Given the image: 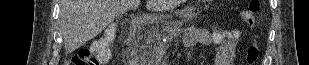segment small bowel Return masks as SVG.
I'll return each mask as SVG.
<instances>
[{"label": "small bowel", "mask_w": 309, "mask_h": 65, "mask_svg": "<svg viewBox=\"0 0 309 65\" xmlns=\"http://www.w3.org/2000/svg\"><path fill=\"white\" fill-rule=\"evenodd\" d=\"M198 44L215 47L214 65H233L236 57V38L226 31H209L189 27L184 34V45L191 49Z\"/></svg>", "instance_id": "small-bowel-1"}]
</instances>
